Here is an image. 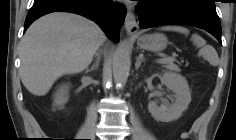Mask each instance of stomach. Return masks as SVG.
<instances>
[{"label":"stomach","instance_id":"stomach-1","mask_svg":"<svg viewBox=\"0 0 236 140\" xmlns=\"http://www.w3.org/2000/svg\"><path fill=\"white\" fill-rule=\"evenodd\" d=\"M167 42L165 35L160 33L144 35L138 38V45L142 49L149 51H161L165 49Z\"/></svg>","mask_w":236,"mask_h":140}]
</instances>
